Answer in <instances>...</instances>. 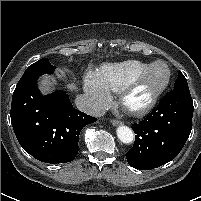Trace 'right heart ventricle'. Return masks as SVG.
<instances>
[{"instance_id": "right-heart-ventricle-1", "label": "right heart ventricle", "mask_w": 201, "mask_h": 201, "mask_svg": "<svg viewBox=\"0 0 201 201\" xmlns=\"http://www.w3.org/2000/svg\"><path fill=\"white\" fill-rule=\"evenodd\" d=\"M149 65L150 63L138 60H127L104 65L98 70L97 75L109 90L120 93L128 82L144 71Z\"/></svg>"}]
</instances>
